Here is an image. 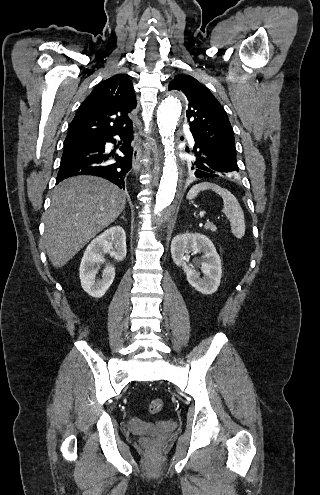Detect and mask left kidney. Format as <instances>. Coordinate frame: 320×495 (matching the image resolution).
Segmentation results:
<instances>
[{
  "instance_id": "obj_1",
  "label": "left kidney",
  "mask_w": 320,
  "mask_h": 495,
  "mask_svg": "<svg viewBox=\"0 0 320 495\" xmlns=\"http://www.w3.org/2000/svg\"><path fill=\"white\" fill-rule=\"evenodd\" d=\"M204 253L205 259L201 263L200 273L187 265L188 254ZM171 255L177 266H181L187 276L188 283L202 294H213L218 289L222 275L220 257L213 243L200 233H185L177 235L171 243Z\"/></svg>"
}]
</instances>
